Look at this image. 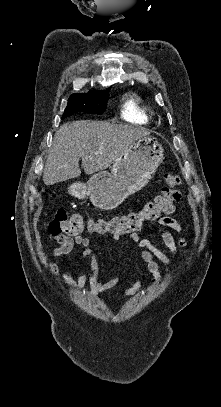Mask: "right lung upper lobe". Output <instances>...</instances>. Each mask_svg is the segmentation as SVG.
I'll return each mask as SVG.
<instances>
[{"label":"right lung upper lobe","mask_w":221,"mask_h":407,"mask_svg":"<svg viewBox=\"0 0 221 407\" xmlns=\"http://www.w3.org/2000/svg\"><path fill=\"white\" fill-rule=\"evenodd\" d=\"M90 92H98V91L92 90V91H90Z\"/></svg>","instance_id":"right-lung-upper-lobe-1"}]
</instances>
